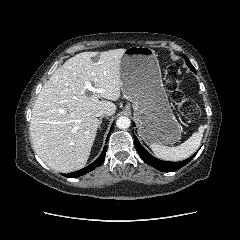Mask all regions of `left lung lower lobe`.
I'll return each instance as SVG.
<instances>
[{
    "label": "left lung lower lobe",
    "instance_id": "1",
    "mask_svg": "<svg viewBox=\"0 0 240 240\" xmlns=\"http://www.w3.org/2000/svg\"><path fill=\"white\" fill-rule=\"evenodd\" d=\"M134 139H135V147H136L140 157L142 158V160L144 162H146L148 165H150L162 172L176 171V170L180 169L181 167H183L188 162H190L196 155V153H195L192 157H190L184 161H181V162L161 161V160H158L155 157H153L151 154H149L142 147V145L140 144L139 140L137 139V137L135 135H134Z\"/></svg>",
    "mask_w": 240,
    "mask_h": 240
}]
</instances>
